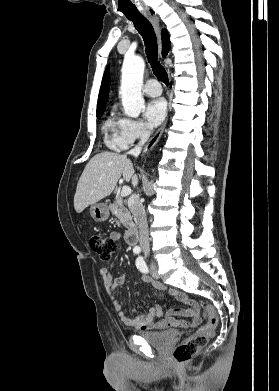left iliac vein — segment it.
<instances>
[{"instance_id": "1", "label": "left iliac vein", "mask_w": 279, "mask_h": 391, "mask_svg": "<svg viewBox=\"0 0 279 391\" xmlns=\"http://www.w3.org/2000/svg\"><path fill=\"white\" fill-rule=\"evenodd\" d=\"M150 271H151L152 277H154L155 279H158V278H159L158 271H157V267H156L155 264H151V266H150Z\"/></svg>"}]
</instances>
